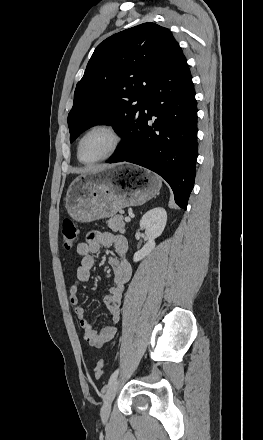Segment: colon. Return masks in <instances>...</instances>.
Returning a JSON list of instances; mask_svg holds the SVG:
<instances>
[{
	"label": "colon",
	"instance_id": "colon-1",
	"mask_svg": "<svg viewBox=\"0 0 263 440\" xmlns=\"http://www.w3.org/2000/svg\"><path fill=\"white\" fill-rule=\"evenodd\" d=\"M79 230L74 223V221L70 219H65L62 223V240L65 248H72L78 240ZM104 362L103 360H99L94 368V376L96 379H101L103 375Z\"/></svg>",
	"mask_w": 263,
	"mask_h": 440
}]
</instances>
